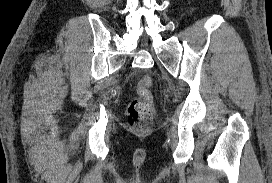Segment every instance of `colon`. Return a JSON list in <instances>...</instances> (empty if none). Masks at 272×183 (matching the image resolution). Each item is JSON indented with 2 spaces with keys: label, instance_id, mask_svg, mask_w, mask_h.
Here are the masks:
<instances>
[{
  "label": "colon",
  "instance_id": "colon-1",
  "mask_svg": "<svg viewBox=\"0 0 272 183\" xmlns=\"http://www.w3.org/2000/svg\"><path fill=\"white\" fill-rule=\"evenodd\" d=\"M151 79L143 77L137 87L139 97L128 107V123L131 127H145L154 115L153 99L150 91Z\"/></svg>",
  "mask_w": 272,
  "mask_h": 183
}]
</instances>
